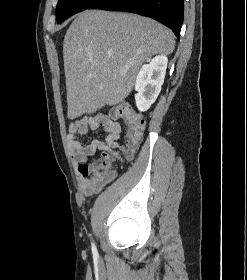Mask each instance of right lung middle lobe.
Wrapping results in <instances>:
<instances>
[{
    "label": "right lung middle lobe",
    "mask_w": 247,
    "mask_h": 280,
    "mask_svg": "<svg viewBox=\"0 0 247 280\" xmlns=\"http://www.w3.org/2000/svg\"><path fill=\"white\" fill-rule=\"evenodd\" d=\"M98 0H59L56 7L57 23L61 24L70 16L90 8Z\"/></svg>",
    "instance_id": "obj_1"
}]
</instances>
